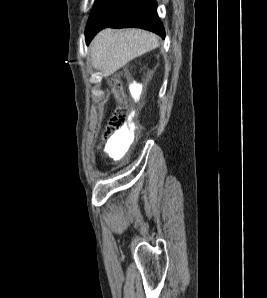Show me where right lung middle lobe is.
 Masks as SVG:
<instances>
[{
    "label": "right lung middle lobe",
    "mask_w": 267,
    "mask_h": 298,
    "mask_svg": "<svg viewBox=\"0 0 267 298\" xmlns=\"http://www.w3.org/2000/svg\"><path fill=\"white\" fill-rule=\"evenodd\" d=\"M107 2L108 0H96L93 10L90 14L88 23L92 22L96 18V16L99 14V12L102 10V8Z\"/></svg>",
    "instance_id": "right-lung-middle-lobe-1"
}]
</instances>
